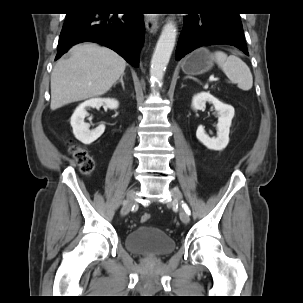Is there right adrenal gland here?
Returning <instances> with one entry per match:
<instances>
[{
	"label": "right adrenal gland",
	"mask_w": 303,
	"mask_h": 303,
	"mask_svg": "<svg viewBox=\"0 0 303 303\" xmlns=\"http://www.w3.org/2000/svg\"><path fill=\"white\" fill-rule=\"evenodd\" d=\"M124 75H125V74L123 73V74L120 76L119 81H117V82L114 84V86H115L117 83H121L122 88L125 89L124 81H123V76H124Z\"/></svg>",
	"instance_id": "1"
}]
</instances>
